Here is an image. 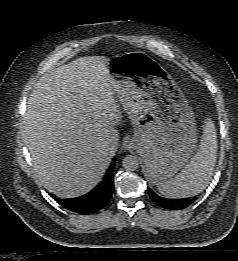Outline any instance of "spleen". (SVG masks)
I'll use <instances>...</instances> for the list:
<instances>
[{
	"label": "spleen",
	"mask_w": 238,
	"mask_h": 261,
	"mask_svg": "<svg viewBox=\"0 0 238 261\" xmlns=\"http://www.w3.org/2000/svg\"><path fill=\"white\" fill-rule=\"evenodd\" d=\"M217 158V134L211 119H206L196 154L173 179L158 186L167 198H186L201 193L209 184Z\"/></svg>",
	"instance_id": "obj_1"
}]
</instances>
